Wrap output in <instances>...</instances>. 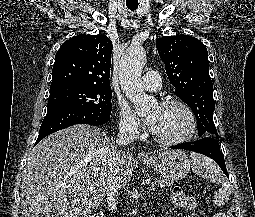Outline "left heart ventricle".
Returning a JSON list of instances; mask_svg holds the SVG:
<instances>
[{
    "instance_id": "1",
    "label": "left heart ventricle",
    "mask_w": 255,
    "mask_h": 217,
    "mask_svg": "<svg viewBox=\"0 0 255 217\" xmlns=\"http://www.w3.org/2000/svg\"><path fill=\"white\" fill-rule=\"evenodd\" d=\"M156 120L154 134L162 138H176L186 132L189 126L187 113L179 106L152 108L147 115Z\"/></svg>"
}]
</instances>
